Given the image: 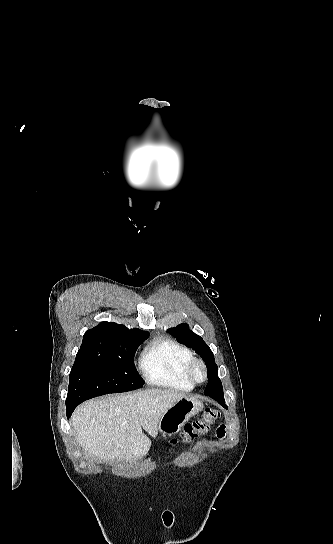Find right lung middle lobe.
I'll list each match as a JSON object with an SVG mask.
<instances>
[{"label": "right lung middle lobe", "instance_id": "right-lung-middle-lobe-1", "mask_svg": "<svg viewBox=\"0 0 333 544\" xmlns=\"http://www.w3.org/2000/svg\"><path fill=\"white\" fill-rule=\"evenodd\" d=\"M147 338L120 339L105 352L78 351L69 376L66 405L141 388L144 383L134 366V355Z\"/></svg>", "mask_w": 333, "mask_h": 544}]
</instances>
